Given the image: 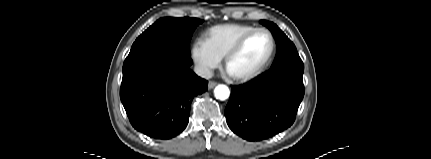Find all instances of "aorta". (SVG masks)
Wrapping results in <instances>:
<instances>
[{
	"label": "aorta",
	"mask_w": 431,
	"mask_h": 159,
	"mask_svg": "<svg viewBox=\"0 0 431 159\" xmlns=\"http://www.w3.org/2000/svg\"><path fill=\"white\" fill-rule=\"evenodd\" d=\"M214 95L219 100H226L230 96V90L226 85H218L214 89Z\"/></svg>",
	"instance_id": "obj_1"
}]
</instances>
